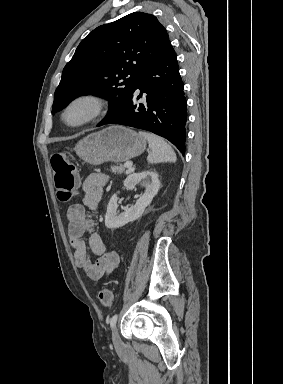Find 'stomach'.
I'll return each mask as SVG.
<instances>
[{
  "label": "stomach",
  "instance_id": "1",
  "mask_svg": "<svg viewBox=\"0 0 283 384\" xmlns=\"http://www.w3.org/2000/svg\"><path fill=\"white\" fill-rule=\"evenodd\" d=\"M145 148L144 138L133 130L110 126L86 136L76 144L74 150L87 164L100 166L104 162H127L143 154Z\"/></svg>",
  "mask_w": 283,
  "mask_h": 384
}]
</instances>
